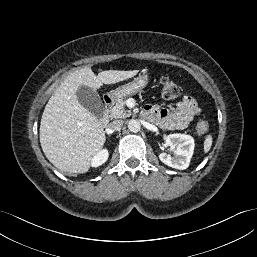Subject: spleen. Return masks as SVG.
Masks as SVG:
<instances>
[{
    "instance_id": "1",
    "label": "spleen",
    "mask_w": 257,
    "mask_h": 257,
    "mask_svg": "<svg viewBox=\"0 0 257 257\" xmlns=\"http://www.w3.org/2000/svg\"><path fill=\"white\" fill-rule=\"evenodd\" d=\"M212 142H213V138H212V135H207L205 137V140H204V153H208L209 150L211 149V146H212Z\"/></svg>"
}]
</instances>
